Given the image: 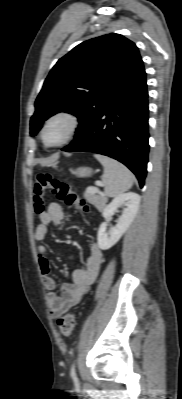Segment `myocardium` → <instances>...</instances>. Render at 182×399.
Instances as JSON below:
<instances>
[{
    "label": "myocardium",
    "mask_w": 182,
    "mask_h": 399,
    "mask_svg": "<svg viewBox=\"0 0 182 399\" xmlns=\"http://www.w3.org/2000/svg\"><path fill=\"white\" fill-rule=\"evenodd\" d=\"M59 119L64 120L68 123L69 129H68L67 135L61 142H59L57 144H49L46 141V137H45L46 129L51 122H53L55 120H59ZM80 125H81L80 119L75 113H73L72 111H69V110H59V111L53 113L52 115H50L45 120L42 130H41L42 141H43L44 145L49 148H56V147L63 146L65 144H67L68 142H70L72 139H74V137L79 132Z\"/></svg>",
    "instance_id": "obj_1"
}]
</instances>
